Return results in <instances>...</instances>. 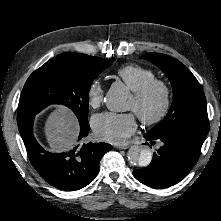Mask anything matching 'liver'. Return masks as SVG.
<instances>
[{
	"label": "liver",
	"instance_id": "6515ba94",
	"mask_svg": "<svg viewBox=\"0 0 221 221\" xmlns=\"http://www.w3.org/2000/svg\"><path fill=\"white\" fill-rule=\"evenodd\" d=\"M44 132L53 152H63L72 148L79 134V123L75 115L66 107L58 106L48 116Z\"/></svg>",
	"mask_w": 221,
	"mask_h": 221
}]
</instances>
